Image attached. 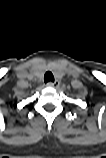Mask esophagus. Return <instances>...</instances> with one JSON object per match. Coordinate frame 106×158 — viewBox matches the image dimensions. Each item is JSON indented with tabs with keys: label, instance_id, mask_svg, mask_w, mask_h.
Returning <instances> with one entry per match:
<instances>
[{
	"label": "esophagus",
	"instance_id": "esophagus-1",
	"mask_svg": "<svg viewBox=\"0 0 106 158\" xmlns=\"http://www.w3.org/2000/svg\"><path fill=\"white\" fill-rule=\"evenodd\" d=\"M59 85V82L58 81H54V82H48L47 83V86H49V87H55V86H58Z\"/></svg>",
	"mask_w": 106,
	"mask_h": 158
}]
</instances>
